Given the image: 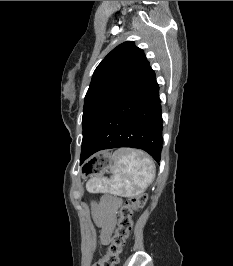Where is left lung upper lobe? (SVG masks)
<instances>
[{
	"mask_svg": "<svg viewBox=\"0 0 233 266\" xmlns=\"http://www.w3.org/2000/svg\"><path fill=\"white\" fill-rule=\"evenodd\" d=\"M148 63L143 50L127 41L113 49L95 69L84 99L82 147L103 115Z\"/></svg>",
	"mask_w": 233,
	"mask_h": 266,
	"instance_id": "5c2ea615",
	"label": "left lung upper lobe"
}]
</instances>
